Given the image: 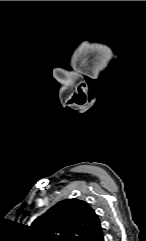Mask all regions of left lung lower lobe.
Listing matches in <instances>:
<instances>
[{
  "label": "left lung lower lobe",
  "instance_id": "obj_1",
  "mask_svg": "<svg viewBox=\"0 0 146 241\" xmlns=\"http://www.w3.org/2000/svg\"><path fill=\"white\" fill-rule=\"evenodd\" d=\"M83 241H104L102 228L100 227L95 233L87 236Z\"/></svg>",
  "mask_w": 146,
  "mask_h": 241
}]
</instances>
